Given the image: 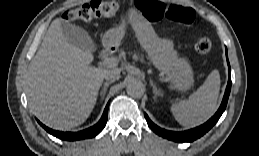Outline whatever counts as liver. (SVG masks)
I'll return each instance as SVG.
<instances>
[{"label": "liver", "mask_w": 259, "mask_h": 156, "mask_svg": "<svg viewBox=\"0 0 259 156\" xmlns=\"http://www.w3.org/2000/svg\"><path fill=\"white\" fill-rule=\"evenodd\" d=\"M61 23V18L51 23L29 64L27 97L30 110L42 123L68 130L91 114L108 69L90 66L92 53L69 43Z\"/></svg>", "instance_id": "obj_1"}]
</instances>
